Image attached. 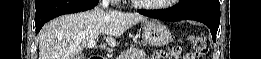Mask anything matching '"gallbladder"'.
Instances as JSON below:
<instances>
[{
  "instance_id": "obj_1",
  "label": "gallbladder",
  "mask_w": 261,
  "mask_h": 59,
  "mask_svg": "<svg viewBox=\"0 0 261 59\" xmlns=\"http://www.w3.org/2000/svg\"><path fill=\"white\" fill-rule=\"evenodd\" d=\"M81 58H82L81 55H77V56L75 57V59H81Z\"/></svg>"
}]
</instances>
